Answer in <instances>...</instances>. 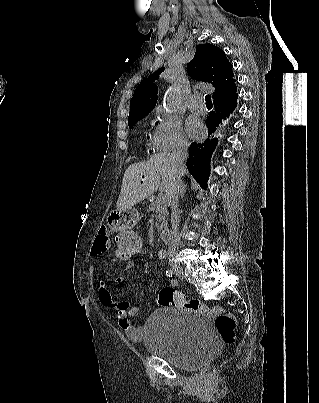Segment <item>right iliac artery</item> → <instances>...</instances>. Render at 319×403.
Wrapping results in <instances>:
<instances>
[{
    "label": "right iliac artery",
    "instance_id": "right-iliac-artery-1",
    "mask_svg": "<svg viewBox=\"0 0 319 403\" xmlns=\"http://www.w3.org/2000/svg\"><path fill=\"white\" fill-rule=\"evenodd\" d=\"M166 275H167L168 277H172V276H173V271H172V270L166 271Z\"/></svg>",
    "mask_w": 319,
    "mask_h": 403
}]
</instances>
